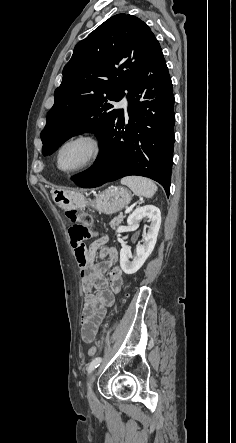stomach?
I'll return each instance as SVG.
<instances>
[{
  "mask_svg": "<svg viewBox=\"0 0 236 443\" xmlns=\"http://www.w3.org/2000/svg\"><path fill=\"white\" fill-rule=\"evenodd\" d=\"M54 202L63 209L83 208L86 200L80 192L57 189L53 190ZM131 193L124 187L110 186L100 193L94 201L93 206L99 213L107 215L114 214L125 208L131 201Z\"/></svg>",
  "mask_w": 236,
  "mask_h": 443,
  "instance_id": "stomach-1",
  "label": "stomach"
}]
</instances>
